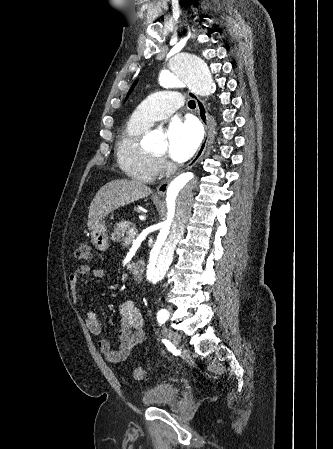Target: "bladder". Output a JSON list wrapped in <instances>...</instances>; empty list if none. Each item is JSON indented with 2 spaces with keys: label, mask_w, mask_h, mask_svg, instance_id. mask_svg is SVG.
Listing matches in <instances>:
<instances>
[{
  "label": "bladder",
  "mask_w": 333,
  "mask_h": 449,
  "mask_svg": "<svg viewBox=\"0 0 333 449\" xmlns=\"http://www.w3.org/2000/svg\"><path fill=\"white\" fill-rule=\"evenodd\" d=\"M178 398L177 387L169 383H160L145 391L141 401L146 406L162 407L174 404Z\"/></svg>",
  "instance_id": "1"
}]
</instances>
